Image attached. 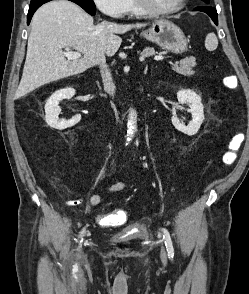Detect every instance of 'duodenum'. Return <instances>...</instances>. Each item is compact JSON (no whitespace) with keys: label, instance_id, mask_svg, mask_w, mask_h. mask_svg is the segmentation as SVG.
Listing matches in <instances>:
<instances>
[{"label":"duodenum","instance_id":"duodenum-1","mask_svg":"<svg viewBox=\"0 0 249 294\" xmlns=\"http://www.w3.org/2000/svg\"><path fill=\"white\" fill-rule=\"evenodd\" d=\"M138 94L142 95V88L141 87H139V89H138Z\"/></svg>","mask_w":249,"mask_h":294}]
</instances>
